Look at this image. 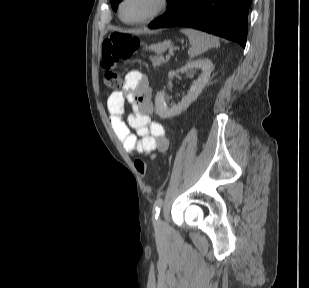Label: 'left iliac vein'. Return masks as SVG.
<instances>
[{"mask_svg":"<svg viewBox=\"0 0 309 288\" xmlns=\"http://www.w3.org/2000/svg\"><path fill=\"white\" fill-rule=\"evenodd\" d=\"M157 234H164L166 232V226L161 219L156 222Z\"/></svg>","mask_w":309,"mask_h":288,"instance_id":"left-iliac-vein-1","label":"left iliac vein"}]
</instances>
